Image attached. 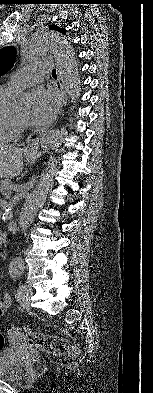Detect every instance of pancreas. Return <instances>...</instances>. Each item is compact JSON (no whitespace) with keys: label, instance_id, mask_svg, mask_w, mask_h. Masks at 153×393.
Returning <instances> with one entry per match:
<instances>
[{"label":"pancreas","instance_id":"obj_1","mask_svg":"<svg viewBox=\"0 0 153 393\" xmlns=\"http://www.w3.org/2000/svg\"><path fill=\"white\" fill-rule=\"evenodd\" d=\"M12 186V181L9 179L0 180V193L5 195L9 192L10 187Z\"/></svg>","mask_w":153,"mask_h":393}]
</instances>
